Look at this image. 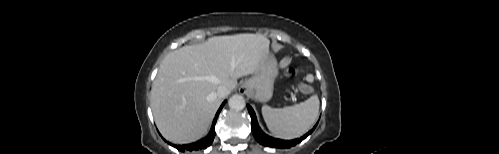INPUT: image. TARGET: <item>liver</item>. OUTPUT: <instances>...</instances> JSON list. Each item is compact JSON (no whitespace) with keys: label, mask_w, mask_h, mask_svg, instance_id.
<instances>
[{"label":"liver","mask_w":499,"mask_h":154,"mask_svg":"<svg viewBox=\"0 0 499 154\" xmlns=\"http://www.w3.org/2000/svg\"><path fill=\"white\" fill-rule=\"evenodd\" d=\"M269 54L262 34L216 36L166 55L151 92V108L161 134L177 144L191 143L209 130L221 98L237 79L258 71Z\"/></svg>","instance_id":"obj_1"}]
</instances>
